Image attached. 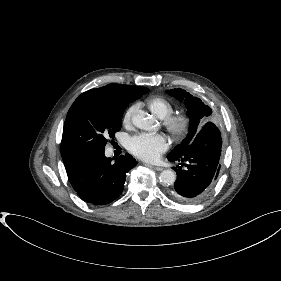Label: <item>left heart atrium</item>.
Instances as JSON below:
<instances>
[{"label":"left heart atrium","instance_id":"left-heart-atrium-1","mask_svg":"<svg viewBox=\"0 0 281 281\" xmlns=\"http://www.w3.org/2000/svg\"><path fill=\"white\" fill-rule=\"evenodd\" d=\"M168 142L163 135L145 134L135 135L128 140V149L138 158L154 162L167 150Z\"/></svg>","mask_w":281,"mask_h":281}]
</instances>
